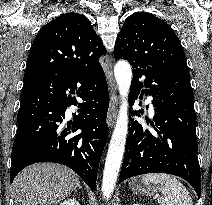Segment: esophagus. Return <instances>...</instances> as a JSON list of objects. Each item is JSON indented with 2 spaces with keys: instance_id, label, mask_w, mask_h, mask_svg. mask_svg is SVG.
Instances as JSON below:
<instances>
[{
  "instance_id": "34e87169",
  "label": "esophagus",
  "mask_w": 212,
  "mask_h": 205,
  "mask_svg": "<svg viewBox=\"0 0 212 205\" xmlns=\"http://www.w3.org/2000/svg\"><path fill=\"white\" fill-rule=\"evenodd\" d=\"M109 67H111V62H109ZM108 84L110 90V104L107 115V125L109 129H111L115 124L119 103L118 92L111 70L108 72Z\"/></svg>"
}]
</instances>
